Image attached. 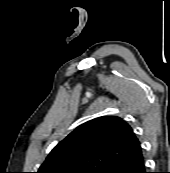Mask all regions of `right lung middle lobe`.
<instances>
[{"label": "right lung middle lobe", "mask_w": 170, "mask_h": 173, "mask_svg": "<svg viewBox=\"0 0 170 173\" xmlns=\"http://www.w3.org/2000/svg\"><path fill=\"white\" fill-rule=\"evenodd\" d=\"M97 172V171H94ZM68 173H89L87 171H69Z\"/></svg>", "instance_id": "1"}]
</instances>
